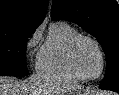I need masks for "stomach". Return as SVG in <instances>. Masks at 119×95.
I'll return each instance as SVG.
<instances>
[{
    "mask_svg": "<svg viewBox=\"0 0 119 95\" xmlns=\"http://www.w3.org/2000/svg\"><path fill=\"white\" fill-rule=\"evenodd\" d=\"M68 95H89V94L86 91L76 88L72 90Z\"/></svg>",
    "mask_w": 119,
    "mask_h": 95,
    "instance_id": "stomach-1",
    "label": "stomach"
}]
</instances>
